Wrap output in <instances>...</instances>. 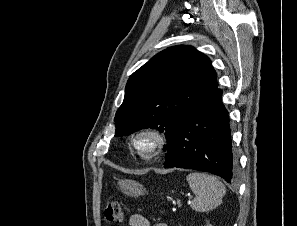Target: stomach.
Returning a JSON list of instances; mask_svg holds the SVG:
<instances>
[{"label": "stomach", "instance_id": "0dacf381", "mask_svg": "<svg viewBox=\"0 0 297 226\" xmlns=\"http://www.w3.org/2000/svg\"><path fill=\"white\" fill-rule=\"evenodd\" d=\"M119 185L122 189V191L130 196L138 197L146 192V190L143 188V186L133 180H119Z\"/></svg>", "mask_w": 297, "mask_h": 226}]
</instances>
